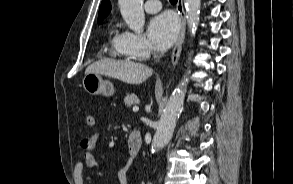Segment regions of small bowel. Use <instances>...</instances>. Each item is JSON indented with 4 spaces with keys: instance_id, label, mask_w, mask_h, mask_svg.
<instances>
[{
    "instance_id": "small-bowel-1",
    "label": "small bowel",
    "mask_w": 293,
    "mask_h": 184,
    "mask_svg": "<svg viewBox=\"0 0 293 184\" xmlns=\"http://www.w3.org/2000/svg\"><path fill=\"white\" fill-rule=\"evenodd\" d=\"M98 140V133L85 137L80 142L82 158L78 160L73 168V180L75 184H85L84 173L86 169H95L98 162L94 156V149ZM133 162L130 156L124 167L118 171V180L120 184H128V171Z\"/></svg>"
}]
</instances>
